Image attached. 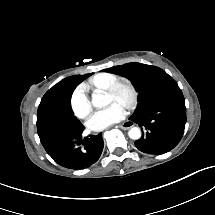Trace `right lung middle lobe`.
Segmentation results:
<instances>
[{"label": "right lung middle lobe", "mask_w": 215, "mask_h": 215, "mask_svg": "<svg viewBox=\"0 0 215 215\" xmlns=\"http://www.w3.org/2000/svg\"><path fill=\"white\" fill-rule=\"evenodd\" d=\"M90 75L68 77L46 92L38 107L37 131L51 127L73 130L84 128L73 115L71 95L76 86Z\"/></svg>", "instance_id": "dd1d6c3e"}]
</instances>
